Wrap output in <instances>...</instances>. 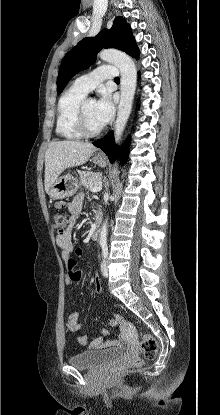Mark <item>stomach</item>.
<instances>
[{"label":"stomach","instance_id":"stomach-1","mask_svg":"<svg viewBox=\"0 0 220 415\" xmlns=\"http://www.w3.org/2000/svg\"><path fill=\"white\" fill-rule=\"evenodd\" d=\"M93 162L101 167L106 165V159L102 156L95 155ZM79 188V182L71 174L62 176L49 189V195L54 200L63 199L72 196Z\"/></svg>","mask_w":220,"mask_h":415}]
</instances>
